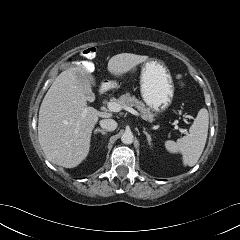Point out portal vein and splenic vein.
Returning <instances> with one entry per match:
<instances>
[{
  "mask_svg": "<svg viewBox=\"0 0 240 240\" xmlns=\"http://www.w3.org/2000/svg\"><path fill=\"white\" fill-rule=\"evenodd\" d=\"M107 107L112 112H120L122 109L132 113L133 115L139 116V113L134 110L131 107L128 106H121L120 104L116 102H108ZM142 117V116H141ZM176 129H179L181 133L187 134V131L185 129L179 128L178 126L175 127Z\"/></svg>",
  "mask_w": 240,
  "mask_h": 240,
  "instance_id": "obj_1",
  "label": "portal vein and splenic vein"
}]
</instances>
